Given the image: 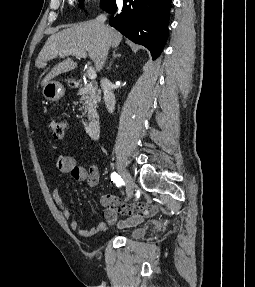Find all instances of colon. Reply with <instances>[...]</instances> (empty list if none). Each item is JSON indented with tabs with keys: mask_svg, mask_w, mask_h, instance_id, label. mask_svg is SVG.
<instances>
[{
	"mask_svg": "<svg viewBox=\"0 0 255 287\" xmlns=\"http://www.w3.org/2000/svg\"><path fill=\"white\" fill-rule=\"evenodd\" d=\"M47 127L54 135V137L60 138L63 136L65 124L62 120L56 118H50L47 121Z\"/></svg>",
	"mask_w": 255,
	"mask_h": 287,
	"instance_id": "5ec220e1",
	"label": "colon"
}]
</instances>
